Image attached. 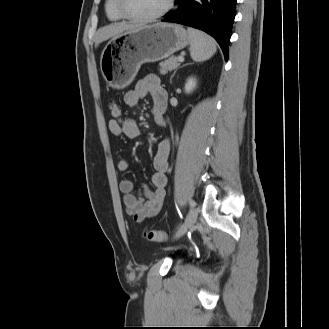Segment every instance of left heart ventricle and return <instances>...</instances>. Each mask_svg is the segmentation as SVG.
I'll return each instance as SVG.
<instances>
[{"instance_id": "left-heart-ventricle-1", "label": "left heart ventricle", "mask_w": 329, "mask_h": 329, "mask_svg": "<svg viewBox=\"0 0 329 329\" xmlns=\"http://www.w3.org/2000/svg\"><path fill=\"white\" fill-rule=\"evenodd\" d=\"M167 0H125L126 9L136 15L150 16L161 11Z\"/></svg>"}]
</instances>
